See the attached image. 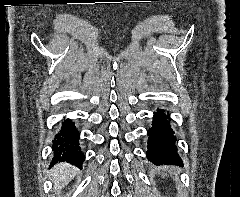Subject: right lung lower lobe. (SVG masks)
<instances>
[{"label":"right lung lower lobe","instance_id":"right-lung-lower-lobe-1","mask_svg":"<svg viewBox=\"0 0 240 197\" xmlns=\"http://www.w3.org/2000/svg\"><path fill=\"white\" fill-rule=\"evenodd\" d=\"M79 138L80 133L74 123L69 119L65 120L52 143L55 162L67 161L81 167L85 156L79 147Z\"/></svg>","mask_w":240,"mask_h":197}]
</instances>
